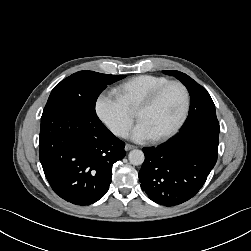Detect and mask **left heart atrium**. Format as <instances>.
Wrapping results in <instances>:
<instances>
[{
  "mask_svg": "<svg viewBox=\"0 0 251 251\" xmlns=\"http://www.w3.org/2000/svg\"><path fill=\"white\" fill-rule=\"evenodd\" d=\"M128 137L137 142H143L154 138L148 127L143 122L140 121L130 131Z\"/></svg>",
  "mask_w": 251,
  "mask_h": 251,
  "instance_id": "1",
  "label": "left heart atrium"
}]
</instances>
